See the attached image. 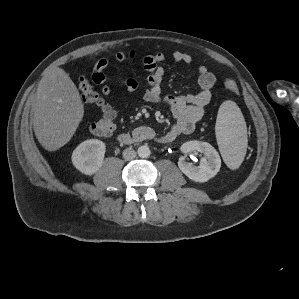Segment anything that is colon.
Wrapping results in <instances>:
<instances>
[{"instance_id":"colon-1","label":"colon","mask_w":299,"mask_h":299,"mask_svg":"<svg viewBox=\"0 0 299 299\" xmlns=\"http://www.w3.org/2000/svg\"><path fill=\"white\" fill-rule=\"evenodd\" d=\"M224 86L232 94L237 95L239 92L237 83L231 78L224 80ZM79 90L83 101L100 110V117L90 126L91 133L100 137L110 136L115 130L116 112L114 109L94 91L86 77H80Z\"/></svg>"}]
</instances>
